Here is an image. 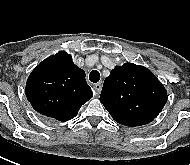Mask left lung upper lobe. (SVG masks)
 Wrapping results in <instances>:
<instances>
[{"instance_id":"1","label":"left lung upper lobe","mask_w":190,"mask_h":165,"mask_svg":"<svg viewBox=\"0 0 190 165\" xmlns=\"http://www.w3.org/2000/svg\"><path fill=\"white\" fill-rule=\"evenodd\" d=\"M100 101L118 123L136 127L154 120L167 101V91L146 67L125 63L105 79Z\"/></svg>"}]
</instances>
